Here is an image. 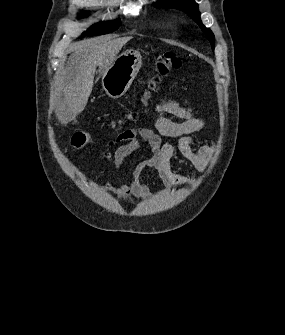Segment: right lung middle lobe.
<instances>
[{
	"mask_svg": "<svg viewBox=\"0 0 285 335\" xmlns=\"http://www.w3.org/2000/svg\"><path fill=\"white\" fill-rule=\"evenodd\" d=\"M120 25V20L110 21V22H100L98 24L93 25L87 31H85L81 37L83 36H92V35H103L107 33H111L114 30L118 29Z\"/></svg>",
	"mask_w": 285,
	"mask_h": 335,
	"instance_id": "dd1d6c3e",
	"label": "right lung middle lobe"
}]
</instances>
